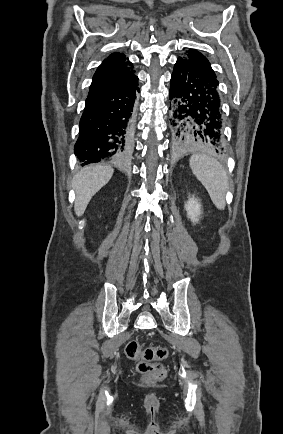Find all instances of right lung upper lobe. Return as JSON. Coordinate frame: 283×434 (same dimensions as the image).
<instances>
[{
	"instance_id": "cb5924a9",
	"label": "right lung upper lobe",
	"mask_w": 283,
	"mask_h": 434,
	"mask_svg": "<svg viewBox=\"0 0 283 434\" xmlns=\"http://www.w3.org/2000/svg\"><path fill=\"white\" fill-rule=\"evenodd\" d=\"M133 77L132 63L124 54L114 52L97 68L88 95L120 87Z\"/></svg>"
}]
</instances>
